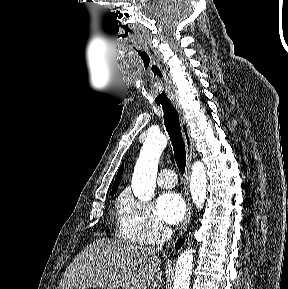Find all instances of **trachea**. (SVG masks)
Masks as SVG:
<instances>
[{
  "label": "trachea",
  "mask_w": 288,
  "mask_h": 289,
  "mask_svg": "<svg viewBox=\"0 0 288 289\" xmlns=\"http://www.w3.org/2000/svg\"><path fill=\"white\" fill-rule=\"evenodd\" d=\"M138 55L143 67L151 73L153 79L151 96L158 105L162 106L165 126L172 142L175 161L179 170L184 173L186 166L185 144L180 128L178 112L168 100V91L164 84V73L148 52L139 50Z\"/></svg>",
  "instance_id": "trachea-1"
}]
</instances>
